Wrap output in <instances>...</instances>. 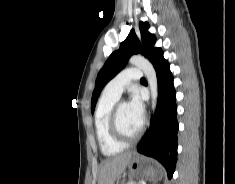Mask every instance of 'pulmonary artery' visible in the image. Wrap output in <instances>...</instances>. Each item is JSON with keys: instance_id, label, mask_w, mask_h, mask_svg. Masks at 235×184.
Segmentation results:
<instances>
[{"instance_id": "1", "label": "pulmonary artery", "mask_w": 235, "mask_h": 184, "mask_svg": "<svg viewBox=\"0 0 235 184\" xmlns=\"http://www.w3.org/2000/svg\"><path fill=\"white\" fill-rule=\"evenodd\" d=\"M140 74H142V69L123 70L106 84L103 94L118 99L128 84L137 79Z\"/></svg>"}]
</instances>
